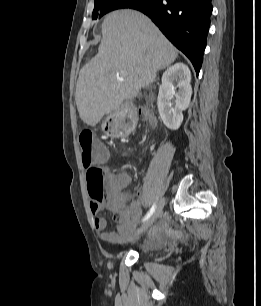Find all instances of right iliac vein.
I'll use <instances>...</instances> for the list:
<instances>
[{"label":"right iliac vein","mask_w":261,"mask_h":306,"mask_svg":"<svg viewBox=\"0 0 261 306\" xmlns=\"http://www.w3.org/2000/svg\"><path fill=\"white\" fill-rule=\"evenodd\" d=\"M165 204V199L164 197H161L158 202H157V207L154 213L151 215L149 220L137 230V232L134 234V237H137L141 235L143 232H145L155 221L156 219L161 215L163 207Z\"/></svg>","instance_id":"1"}]
</instances>
